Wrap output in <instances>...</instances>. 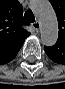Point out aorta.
Listing matches in <instances>:
<instances>
[{
    "label": "aorta",
    "mask_w": 65,
    "mask_h": 89,
    "mask_svg": "<svg viewBox=\"0 0 65 89\" xmlns=\"http://www.w3.org/2000/svg\"><path fill=\"white\" fill-rule=\"evenodd\" d=\"M38 16L41 30V41L45 46H53L58 38V23L55 11L45 0L37 1L32 6Z\"/></svg>",
    "instance_id": "aorta-1"
}]
</instances>
